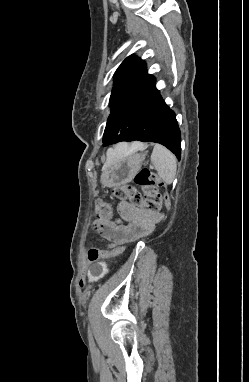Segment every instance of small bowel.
Wrapping results in <instances>:
<instances>
[{"label": "small bowel", "mask_w": 249, "mask_h": 382, "mask_svg": "<svg viewBox=\"0 0 249 382\" xmlns=\"http://www.w3.org/2000/svg\"><path fill=\"white\" fill-rule=\"evenodd\" d=\"M118 210L120 218L127 222L126 225L118 224L110 217L97 216L93 225L111 245L135 241L149 235L163 218L160 213L149 212L126 201L119 202Z\"/></svg>", "instance_id": "obj_1"}]
</instances>
